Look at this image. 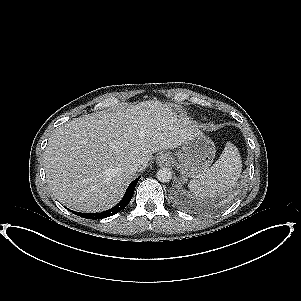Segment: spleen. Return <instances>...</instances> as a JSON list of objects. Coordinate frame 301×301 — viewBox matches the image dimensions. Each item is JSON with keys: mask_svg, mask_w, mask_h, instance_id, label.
I'll list each match as a JSON object with an SVG mask.
<instances>
[{"mask_svg": "<svg viewBox=\"0 0 301 301\" xmlns=\"http://www.w3.org/2000/svg\"><path fill=\"white\" fill-rule=\"evenodd\" d=\"M241 157L232 143H227L219 159L203 173L195 176L188 184L190 191L197 197L213 198L225 194L240 177Z\"/></svg>", "mask_w": 301, "mask_h": 301, "instance_id": "3e777b00", "label": "spleen"}]
</instances>
